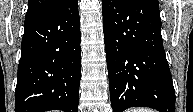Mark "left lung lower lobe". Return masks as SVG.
<instances>
[{
	"instance_id": "0a47b994",
	"label": "left lung lower lobe",
	"mask_w": 193,
	"mask_h": 112,
	"mask_svg": "<svg viewBox=\"0 0 193 112\" xmlns=\"http://www.w3.org/2000/svg\"><path fill=\"white\" fill-rule=\"evenodd\" d=\"M102 13L113 112L130 107L175 112L158 0H103Z\"/></svg>"
}]
</instances>
